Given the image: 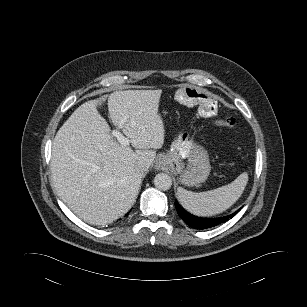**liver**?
I'll return each mask as SVG.
<instances>
[{
  "mask_svg": "<svg viewBox=\"0 0 307 307\" xmlns=\"http://www.w3.org/2000/svg\"><path fill=\"white\" fill-rule=\"evenodd\" d=\"M162 90L116 91L108 96L112 123L131 145L116 142L97 107L105 98L79 106L58 130L51 155V175L58 196L79 218L105 225L134 205L143 174L135 166L153 164L164 144L158 112Z\"/></svg>",
  "mask_w": 307,
  "mask_h": 307,
  "instance_id": "6515ba94",
  "label": "liver"
}]
</instances>
